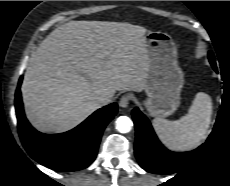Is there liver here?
I'll list each match as a JSON object with an SVG mask.
<instances>
[{
  "instance_id": "obj_1",
  "label": "liver",
  "mask_w": 230,
  "mask_h": 186,
  "mask_svg": "<svg viewBox=\"0 0 230 186\" xmlns=\"http://www.w3.org/2000/svg\"><path fill=\"white\" fill-rule=\"evenodd\" d=\"M146 31L108 21H70L52 31L32 54L21 87L32 126L63 133L102 106L98 96L145 90Z\"/></svg>"
}]
</instances>
